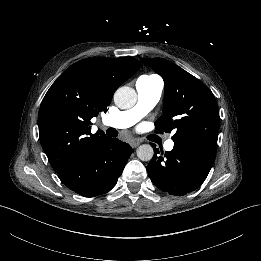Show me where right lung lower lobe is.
<instances>
[{
  "instance_id": "right-lung-lower-lobe-1",
  "label": "right lung lower lobe",
  "mask_w": 261,
  "mask_h": 261,
  "mask_svg": "<svg viewBox=\"0 0 261 261\" xmlns=\"http://www.w3.org/2000/svg\"><path fill=\"white\" fill-rule=\"evenodd\" d=\"M131 153L132 148L128 144L106 137L58 176L68 188L81 196L102 195L115 186Z\"/></svg>"
}]
</instances>
